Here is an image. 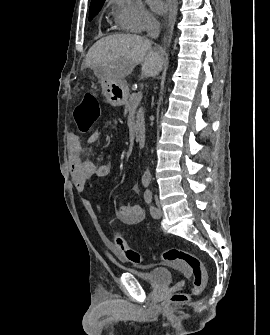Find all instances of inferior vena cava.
<instances>
[{
    "instance_id": "602c4592",
    "label": "inferior vena cava",
    "mask_w": 270,
    "mask_h": 335,
    "mask_svg": "<svg viewBox=\"0 0 270 335\" xmlns=\"http://www.w3.org/2000/svg\"><path fill=\"white\" fill-rule=\"evenodd\" d=\"M147 34H148L149 38H154V40H156V38H158V36L160 34L159 24H156V22H152L151 26H149V28H147Z\"/></svg>"
}]
</instances>
